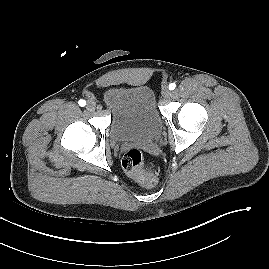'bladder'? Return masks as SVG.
I'll use <instances>...</instances> for the list:
<instances>
[{
  "label": "bladder",
  "mask_w": 269,
  "mask_h": 269,
  "mask_svg": "<svg viewBox=\"0 0 269 269\" xmlns=\"http://www.w3.org/2000/svg\"><path fill=\"white\" fill-rule=\"evenodd\" d=\"M103 102L111 113L110 134L114 141L148 143L160 133L161 118L148 86L109 87Z\"/></svg>",
  "instance_id": "bladder-1"
}]
</instances>
